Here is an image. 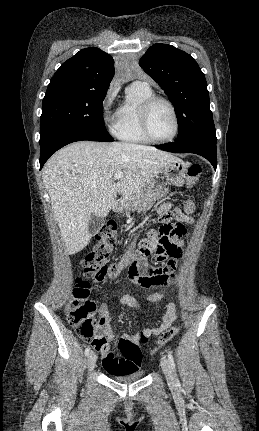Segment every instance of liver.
I'll return each instance as SVG.
<instances>
[{
    "instance_id": "1",
    "label": "liver",
    "mask_w": 259,
    "mask_h": 431,
    "mask_svg": "<svg viewBox=\"0 0 259 431\" xmlns=\"http://www.w3.org/2000/svg\"><path fill=\"white\" fill-rule=\"evenodd\" d=\"M178 160L171 153L124 142L79 141L57 151L44 165L42 179L67 252L75 254L89 244L91 215L106 217L117 192L134 196ZM118 171L124 175L115 183Z\"/></svg>"
}]
</instances>
